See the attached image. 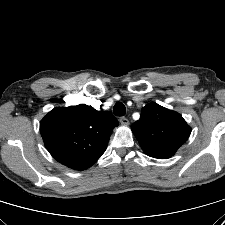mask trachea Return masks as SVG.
Here are the masks:
<instances>
[{"label":"trachea","instance_id":"1","mask_svg":"<svg viewBox=\"0 0 225 225\" xmlns=\"http://www.w3.org/2000/svg\"><path fill=\"white\" fill-rule=\"evenodd\" d=\"M113 112H114V114H115L116 116H124L125 113H126V107L124 106L123 103L117 102V103L114 105Z\"/></svg>","mask_w":225,"mask_h":225}]
</instances>
